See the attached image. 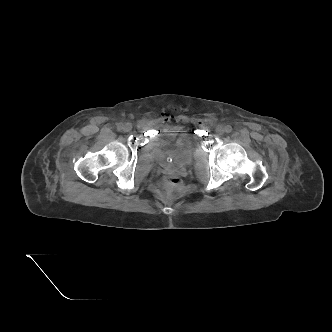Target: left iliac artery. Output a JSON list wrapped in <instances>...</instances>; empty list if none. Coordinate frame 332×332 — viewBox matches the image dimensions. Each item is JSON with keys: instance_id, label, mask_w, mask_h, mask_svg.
Segmentation results:
<instances>
[{"instance_id": "1", "label": "left iliac artery", "mask_w": 332, "mask_h": 332, "mask_svg": "<svg viewBox=\"0 0 332 332\" xmlns=\"http://www.w3.org/2000/svg\"><path fill=\"white\" fill-rule=\"evenodd\" d=\"M225 130H226L227 133H230L232 131V127L230 125H227L225 127Z\"/></svg>"}]
</instances>
